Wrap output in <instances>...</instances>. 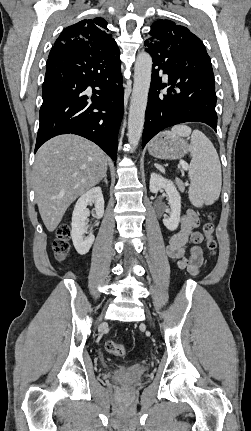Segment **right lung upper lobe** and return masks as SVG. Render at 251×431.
<instances>
[{
  "label": "right lung upper lobe",
  "mask_w": 251,
  "mask_h": 431,
  "mask_svg": "<svg viewBox=\"0 0 251 431\" xmlns=\"http://www.w3.org/2000/svg\"><path fill=\"white\" fill-rule=\"evenodd\" d=\"M106 25L99 17L71 25L63 30L50 53L62 49L68 54L95 57L112 64L120 59V52Z\"/></svg>",
  "instance_id": "cb5924a9"
}]
</instances>
